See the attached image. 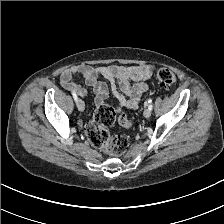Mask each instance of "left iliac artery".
I'll use <instances>...</instances> for the list:
<instances>
[{
	"label": "left iliac artery",
	"instance_id": "obj_1",
	"mask_svg": "<svg viewBox=\"0 0 224 224\" xmlns=\"http://www.w3.org/2000/svg\"><path fill=\"white\" fill-rule=\"evenodd\" d=\"M148 103H149L148 108H149L150 110H152V108H153V103H152V100H151V99H149V100H148Z\"/></svg>",
	"mask_w": 224,
	"mask_h": 224
}]
</instances>
